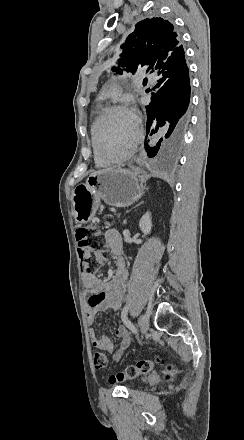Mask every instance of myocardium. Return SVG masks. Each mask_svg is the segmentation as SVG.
Segmentation results:
<instances>
[{"instance_id": "obj_1", "label": "myocardium", "mask_w": 244, "mask_h": 440, "mask_svg": "<svg viewBox=\"0 0 244 440\" xmlns=\"http://www.w3.org/2000/svg\"><path fill=\"white\" fill-rule=\"evenodd\" d=\"M116 110H122V111H126V112H128V110H127V108L125 107V106H123V105H112V106H109V107H107L105 110H104V112H103V115H102V122H99L97 125V133L95 134L96 136H95V141H97V142H95V150L96 151H98L97 153H98V155L101 157V158H103V159H105V160H113L114 158V154L112 153V152H110V153H108L107 155H103L104 154V149H100V146L102 147L104 144L102 143V136H103V134L101 135V133L103 132H105L106 130L103 128L102 129V127H104V125L105 124H109V117H110V115H111V113L113 112V111H116ZM101 137V138H100ZM127 143H130V140L129 141H127ZM122 145H120V146H113V148L114 149H117V148H119V147H121ZM127 158H128V156L127 155H124V156H121V157H119V158H116L115 159V161L116 162H124V161H126L127 160Z\"/></svg>"}]
</instances>
